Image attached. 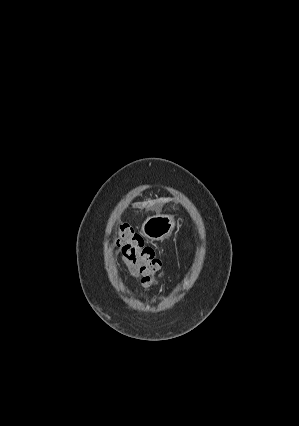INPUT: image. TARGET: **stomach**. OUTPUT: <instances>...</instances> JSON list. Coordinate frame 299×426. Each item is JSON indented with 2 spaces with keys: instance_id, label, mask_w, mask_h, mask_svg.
Instances as JSON below:
<instances>
[{
  "instance_id": "stomach-1",
  "label": "stomach",
  "mask_w": 299,
  "mask_h": 426,
  "mask_svg": "<svg viewBox=\"0 0 299 426\" xmlns=\"http://www.w3.org/2000/svg\"><path fill=\"white\" fill-rule=\"evenodd\" d=\"M175 226L173 215L157 213L146 218L142 223L141 233L151 241H159L170 236Z\"/></svg>"
}]
</instances>
